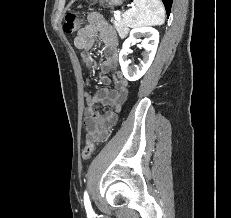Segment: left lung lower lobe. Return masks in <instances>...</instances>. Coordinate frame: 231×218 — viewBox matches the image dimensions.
I'll use <instances>...</instances> for the list:
<instances>
[{
  "mask_svg": "<svg viewBox=\"0 0 231 218\" xmlns=\"http://www.w3.org/2000/svg\"><path fill=\"white\" fill-rule=\"evenodd\" d=\"M162 1L164 3L167 15L169 16L173 0H162Z\"/></svg>",
  "mask_w": 231,
  "mask_h": 218,
  "instance_id": "1",
  "label": "left lung lower lobe"
}]
</instances>
